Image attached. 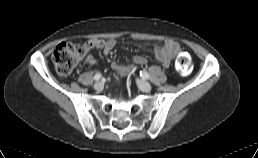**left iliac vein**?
<instances>
[{"label":"left iliac vein","instance_id":"4c4485c4","mask_svg":"<svg viewBox=\"0 0 258 158\" xmlns=\"http://www.w3.org/2000/svg\"><path fill=\"white\" fill-rule=\"evenodd\" d=\"M137 85L143 92H150L152 89L151 85L143 79H137Z\"/></svg>","mask_w":258,"mask_h":158}]
</instances>
